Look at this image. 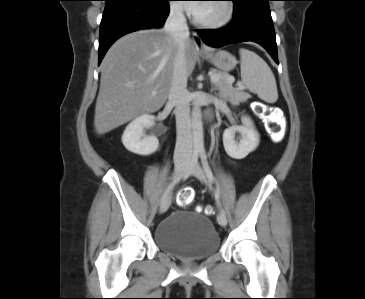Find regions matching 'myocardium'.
Wrapping results in <instances>:
<instances>
[{
	"instance_id": "myocardium-1",
	"label": "myocardium",
	"mask_w": 365,
	"mask_h": 299,
	"mask_svg": "<svg viewBox=\"0 0 365 299\" xmlns=\"http://www.w3.org/2000/svg\"><path fill=\"white\" fill-rule=\"evenodd\" d=\"M221 1L225 7V13L221 18L213 21H202L197 16H194L193 18L194 23L199 27L207 29L222 28L231 23L235 16V4L232 0H221Z\"/></svg>"
}]
</instances>
